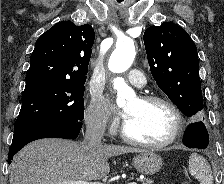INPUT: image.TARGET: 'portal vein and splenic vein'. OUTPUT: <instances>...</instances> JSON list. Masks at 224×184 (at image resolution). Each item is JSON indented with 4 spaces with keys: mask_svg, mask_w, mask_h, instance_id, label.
<instances>
[{
    "mask_svg": "<svg viewBox=\"0 0 224 184\" xmlns=\"http://www.w3.org/2000/svg\"><path fill=\"white\" fill-rule=\"evenodd\" d=\"M58 184H98V183L78 180V181H64V182H60ZM128 184H137V183L129 182Z\"/></svg>",
    "mask_w": 224,
    "mask_h": 184,
    "instance_id": "1",
    "label": "portal vein and splenic vein"
}]
</instances>
